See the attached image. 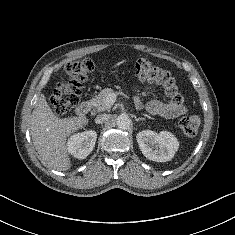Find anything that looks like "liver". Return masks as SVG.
<instances>
[{
	"label": "liver",
	"mask_w": 235,
	"mask_h": 235,
	"mask_svg": "<svg viewBox=\"0 0 235 235\" xmlns=\"http://www.w3.org/2000/svg\"><path fill=\"white\" fill-rule=\"evenodd\" d=\"M87 123L86 117H57L41 94L31 115V136L42 160L59 171L70 169L66 140Z\"/></svg>",
	"instance_id": "6515ba94"
}]
</instances>
